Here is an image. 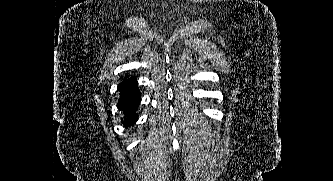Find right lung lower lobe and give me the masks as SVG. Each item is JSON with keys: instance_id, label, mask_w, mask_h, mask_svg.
Here are the masks:
<instances>
[{"instance_id": "obj_1", "label": "right lung lower lobe", "mask_w": 333, "mask_h": 181, "mask_svg": "<svg viewBox=\"0 0 333 181\" xmlns=\"http://www.w3.org/2000/svg\"><path fill=\"white\" fill-rule=\"evenodd\" d=\"M118 90L120 92V98L117 107L119 110H122L125 115L124 120L121 119V122L127 128L137 121L138 115L135 111L139 106L141 96L134 77L122 81L118 86Z\"/></svg>"}]
</instances>
